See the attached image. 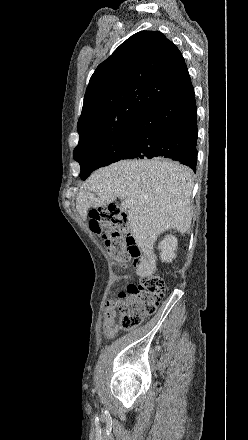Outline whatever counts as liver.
<instances>
[{"instance_id": "liver-1", "label": "liver", "mask_w": 248, "mask_h": 440, "mask_svg": "<svg viewBox=\"0 0 248 440\" xmlns=\"http://www.w3.org/2000/svg\"><path fill=\"white\" fill-rule=\"evenodd\" d=\"M76 199V208L86 220L88 210L112 203L117 197L133 200L128 224L143 252L138 269L156 270L153 246L158 236L170 229L185 233L191 226L192 171L174 161L121 160L93 172Z\"/></svg>"}]
</instances>
